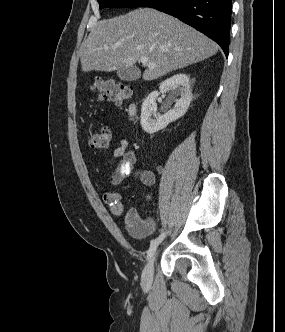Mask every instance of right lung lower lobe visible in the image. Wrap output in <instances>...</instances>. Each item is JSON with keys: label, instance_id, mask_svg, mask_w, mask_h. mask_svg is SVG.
I'll return each instance as SVG.
<instances>
[{"label": "right lung lower lobe", "instance_id": "1", "mask_svg": "<svg viewBox=\"0 0 285 332\" xmlns=\"http://www.w3.org/2000/svg\"><path fill=\"white\" fill-rule=\"evenodd\" d=\"M144 6L194 27L217 42L228 56L232 0H149Z\"/></svg>", "mask_w": 285, "mask_h": 332}]
</instances>
